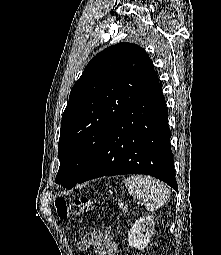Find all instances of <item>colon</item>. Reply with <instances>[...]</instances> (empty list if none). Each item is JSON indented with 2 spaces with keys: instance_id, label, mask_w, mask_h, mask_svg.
Segmentation results:
<instances>
[{
  "instance_id": "1",
  "label": "colon",
  "mask_w": 221,
  "mask_h": 255,
  "mask_svg": "<svg viewBox=\"0 0 221 255\" xmlns=\"http://www.w3.org/2000/svg\"><path fill=\"white\" fill-rule=\"evenodd\" d=\"M94 205V200L90 197H79L71 202H67L63 198H57L55 200V207L59 219L65 220L69 216H79L89 211ZM82 255H91L86 251Z\"/></svg>"
}]
</instances>
